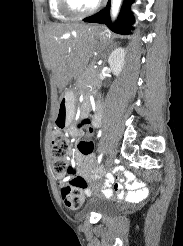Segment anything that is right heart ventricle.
<instances>
[{
    "label": "right heart ventricle",
    "mask_w": 183,
    "mask_h": 246,
    "mask_svg": "<svg viewBox=\"0 0 183 246\" xmlns=\"http://www.w3.org/2000/svg\"><path fill=\"white\" fill-rule=\"evenodd\" d=\"M48 5H49L50 14L53 18L58 20L69 19V16L61 11L58 0H49Z\"/></svg>",
    "instance_id": "right-heart-ventricle-1"
}]
</instances>
